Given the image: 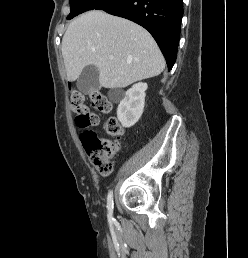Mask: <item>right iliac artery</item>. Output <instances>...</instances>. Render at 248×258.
I'll list each match as a JSON object with an SVG mask.
<instances>
[{
	"label": "right iliac artery",
	"mask_w": 248,
	"mask_h": 258,
	"mask_svg": "<svg viewBox=\"0 0 248 258\" xmlns=\"http://www.w3.org/2000/svg\"><path fill=\"white\" fill-rule=\"evenodd\" d=\"M113 192L109 191L108 196H107V209H108V218H112V213H113Z\"/></svg>",
	"instance_id": "right-iliac-artery-1"
}]
</instances>
